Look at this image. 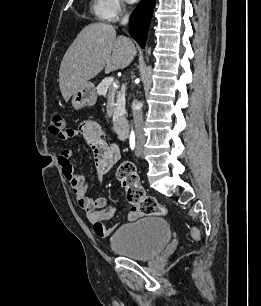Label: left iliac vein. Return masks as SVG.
<instances>
[{
	"mask_svg": "<svg viewBox=\"0 0 261 306\" xmlns=\"http://www.w3.org/2000/svg\"><path fill=\"white\" fill-rule=\"evenodd\" d=\"M139 149H140V146L138 145V146H137V150H139Z\"/></svg>",
	"mask_w": 261,
	"mask_h": 306,
	"instance_id": "4c4485c4",
	"label": "left iliac vein"
}]
</instances>
